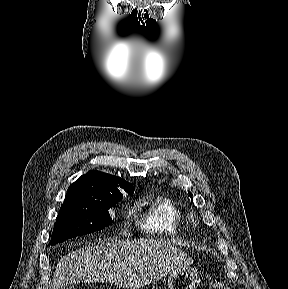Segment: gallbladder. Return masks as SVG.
I'll return each mask as SVG.
<instances>
[{
  "label": "gallbladder",
  "instance_id": "1",
  "mask_svg": "<svg viewBox=\"0 0 288 289\" xmlns=\"http://www.w3.org/2000/svg\"><path fill=\"white\" fill-rule=\"evenodd\" d=\"M81 282V278L77 276H71V278L67 281V284H78Z\"/></svg>",
  "mask_w": 288,
  "mask_h": 289
}]
</instances>
